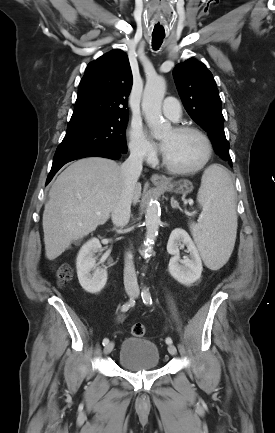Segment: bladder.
<instances>
[{
	"instance_id": "obj_1",
	"label": "bladder",
	"mask_w": 275,
	"mask_h": 433,
	"mask_svg": "<svg viewBox=\"0 0 275 433\" xmlns=\"http://www.w3.org/2000/svg\"><path fill=\"white\" fill-rule=\"evenodd\" d=\"M118 362L130 372L156 369L160 365L159 349L150 340L129 337L120 346Z\"/></svg>"
}]
</instances>
